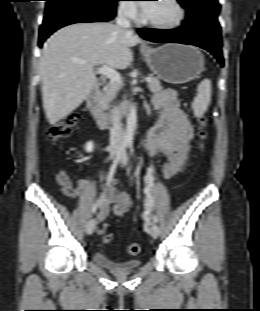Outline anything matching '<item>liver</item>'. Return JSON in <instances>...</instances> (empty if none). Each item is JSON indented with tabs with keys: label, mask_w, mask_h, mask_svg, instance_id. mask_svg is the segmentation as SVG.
Masks as SVG:
<instances>
[{
	"label": "liver",
	"mask_w": 260,
	"mask_h": 311,
	"mask_svg": "<svg viewBox=\"0 0 260 311\" xmlns=\"http://www.w3.org/2000/svg\"><path fill=\"white\" fill-rule=\"evenodd\" d=\"M140 42L131 31L105 22L75 23L54 33L44 44L39 61L49 123H57L86 100L96 84L95 66L126 69L133 61L130 48Z\"/></svg>",
	"instance_id": "6515ba94"
}]
</instances>
